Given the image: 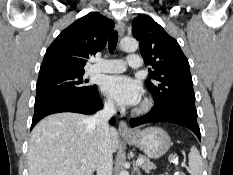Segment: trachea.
<instances>
[{
  "mask_svg": "<svg viewBox=\"0 0 233 175\" xmlns=\"http://www.w3.org/2000/svg\"><path fill=\"white\" fill-rule=\"evenodd\" d=\"M118 42V33L117 31H112L110 36H109V41H108V47H109V52L112 54L115 51V48L117 46Z\"/></svg>",
  "mask_w": 233,
  "mask_h": 175,
  "instance_id": "trachea-1",
  "label": "trachea"
}]
</instances>
